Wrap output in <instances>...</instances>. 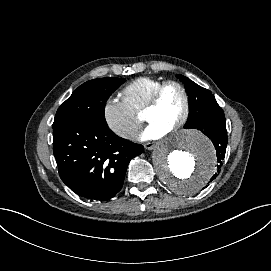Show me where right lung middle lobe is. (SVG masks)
<instances>
[{"instance_id": "right-lung-middle-lobe-1", "label": "right lung middle lobe", "mask_w": 271, "mask_h": 271, "mask_svg": "<svg viewBox=\"0 0 271 271\" xmlns=\"http://www.w3.org/2000/svg\"><path fill=\"white\" fill-rule=\"evenodd\" d=\"M122 83L123 79L119 78H98L85 82L59 107L53 128L76 120L106 124V101Z\"/></svg>"}]
</instances>
